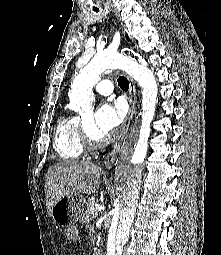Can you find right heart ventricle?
I'll list each match as a JSON object with an SVG mask.
<instances>
[{
  "label": "right heart ventricle",
  "instance_id": "obj_1",
  "mask_svg": "<svg viewBox=\"0 0 221 255\" xmlns=\"http://www.w3.org/2000/svg\"><path fill=\"white\" fill-rule=\"evenodd\" d=\"M54 145L57 154L66 161L79 160L86 154L81 136L79 117L63 114L57 121L54 133Z\"/></svg>",
  "mask_w": 221,
  "mask_h": 255
}]
</instances>
